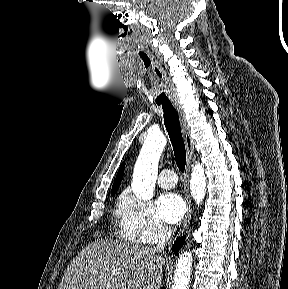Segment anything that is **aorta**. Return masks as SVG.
I'll return each instance as SVG.
<instances>
[{
  "mask_svg": "<svg viewBox=\"0 0 288 289\" xmlns=\"http://www.w3.org/2000/svg\"><path fill=\"white\" fill-rule=\"evenodd\" d=\"M166 145V138L162 134L149 135L140 151L135 164L132 189L141 200H150L153 197L158 173V163ZM190 190L193 199L199 206L206 193V176L202 164L196 163L193 167ZM192 253L183 252L176 263L173 289H189L192 269Z\"/></svg>",
  "mask_w": 288,
  "mask_h": 289,
  "instance_id": "obj_1",
  "label": "aorta"
}]
</instances>
